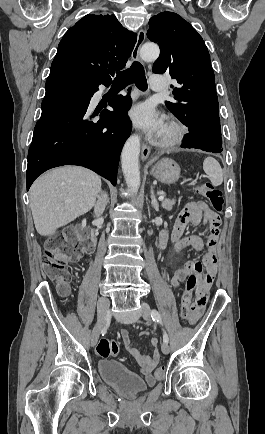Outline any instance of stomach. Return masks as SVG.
I'll use <instances>...</instances> for the list:
<instances>
[{"instance_id":"stomach-1","label":"stomach","mask_w":265,"mask_h":434,"mask_svg":"<svg viewBox=\"0 0 265 434\" xmlns=\"http://www.w3.org/2000/svg\"><path fill=\"white\" fill-rule=\"evenodd\" d=\"M151 174L162 184H173L180 178V168L171 158H163L153 166Z\"/></svg>"}]
</instances>
